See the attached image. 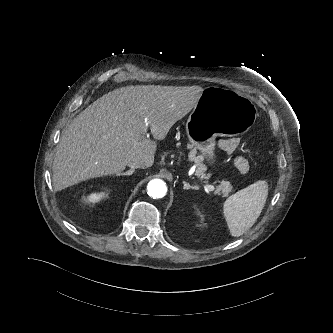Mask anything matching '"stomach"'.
<instances>
[{
  "label": "stomach",
  "mask_w": 333,
  "mask_h": 333,
  "mask_svg": "<svg viewBox=\"0 0 333 333\" xmlns=\"http://www.w3.org/2000/svg\"><path fill=\"white\" fill-rule=\"evenodd\" d=\"M256 116V108L247 97L223 87H209L196 100L186 125L187 135L192 144L213 162L216 137L247 132L254 125Z\"/></svg>",
  "instance_id": "0dacf381"
}]
</instances>
